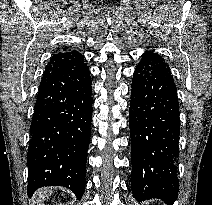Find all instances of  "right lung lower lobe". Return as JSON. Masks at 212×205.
I'll list each match as a JSON object with an SVG mask.
<instances>
[{
    "label": "right lung lower lobe",
    "mask_w": 212,
    "mask_h": 205,
    "mask_svg": "<svg viewBox=\"0 0 212 205\" xmlns=\"http://www.w3.org/2000/svg\"><path fill=\"white\" fill-rule=\"evenodd\" d=\"M91 84L89 67L79 52H60L49 60L30 126L29 197L43 186L67 187L78 199L82 197L91 133Z\"/></svg>",
    "instance_id": "obj_1"
}]
</instances>
